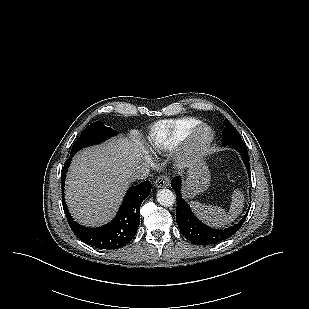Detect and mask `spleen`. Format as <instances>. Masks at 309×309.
I'll list each match as a JSON object with an SVG mask.
<instances>
[{
	"mask_svg": "<svg viewBox=\"0 0 309 309\" xmlns=\"http://www.w3.org/2000/svg\"><path fill=\"white\" fill-rule=\"evenodd\" d=\"M191 207L197 216L208 225L222 227L232 222L242 212L244 196L239 190L233 192L232 203L228 213L221 207L205 205L196 201L191 202Z\"/></svg>",
	"mask_w": 309,
	"mask_h": 309,
	"instance_id": "1",
	"label": "spleen"
}]
</instances>
